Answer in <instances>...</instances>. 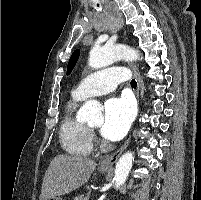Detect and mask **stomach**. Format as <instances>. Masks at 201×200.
<instances>
[{
    "label": "stomach",
    "instance_id": "0dacf381",
    "mask_svg": "<svg viewBox=\"0 0 201 200\" xmlns=\"http://www.w3.org/2000/svg\"><path fill=\"white\" fill-rule=\"evenodd\" d=\"M101 171L104 173V172H107L108 169H101ZM48 200H63V199L60 198V197H53V198H50V199H48Z\"/></svg>",
    "mask_w": 201,
    "mask_h": 200
}]
</instances>
